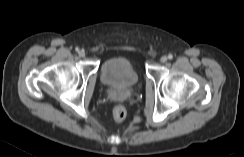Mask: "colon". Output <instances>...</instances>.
Here are the masks:
<instances>
[{
	"instance_id": "1",
	"label": "colon",
	"mask_w": 244,
	"mask_h": 157,
	"mask_svg": "<svg viewBox=\"0 0 244 157\" xmlns=\"http://www.w3.org/2000/svg\"><path fill=\"white\" fill-rule=\"evenodd\" d=\"M127 111L121 104L116 105L113 109V118L116 122H121L125 119Z\"/></svg>"
}]
</instances>
